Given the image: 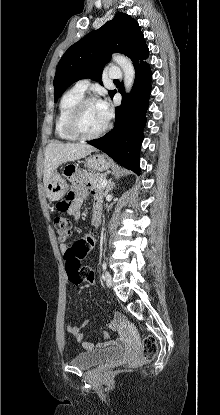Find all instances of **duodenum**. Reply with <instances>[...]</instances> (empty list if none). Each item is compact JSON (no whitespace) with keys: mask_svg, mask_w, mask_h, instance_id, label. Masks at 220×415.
I'll list each match as a JSON object with an SVG mask.
<instances>
[{"mask_svg":"<svg viewBox=\"0 0 220 415\" xmlns=\"http://www.w3.org/2000/svg\"><path fill=\"white\" fill-rule=\"evenodd\" d=\"M101 214H102V212H99V213H97V215L95 217V220H96L97 224L101 221Z\"/></svg>","mask_w":220,"mask_h":415,"instance_id":"obj_1","label":"duodenum"}]
</instances>
